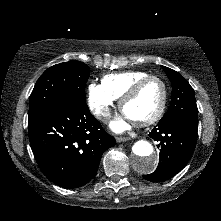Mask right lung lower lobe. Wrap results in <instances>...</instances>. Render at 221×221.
<instances>
[{
    "mask_svg": "<svg viewBox=\"0 0 221 221\" xmlns=\"http://www.w3.org/2000/svg\"><path fill=\"white\" fill-rule=\"evenodd\" d=\"M30 145L43 174L73 189L96 174L102 154L116 144L89 112L85 101L70 98L28 125Z\"/></svg>",
    "mask_w": 221,
    "mask_h": 221,
    "instance_id": "98d812e1",
    "label": "right lung lower lobe"
}]
</instances>
